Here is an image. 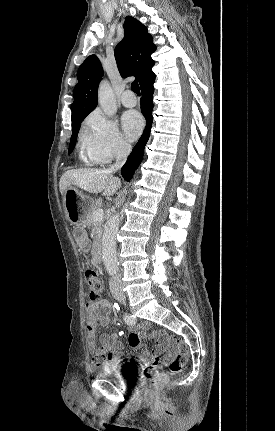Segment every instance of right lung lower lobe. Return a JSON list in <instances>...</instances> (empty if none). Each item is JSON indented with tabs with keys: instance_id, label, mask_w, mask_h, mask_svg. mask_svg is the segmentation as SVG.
<instances>
[{
	"instance_id": "98d812e1",
	"label": "right lung lower lobe",
	"mask_w": 275,
	"mask_h": 431,
	"mask_svg": "<svg viewBox=\"0 0 275 431\" xmlns=\"http://www.w3.org/2000/svg\"><path fill=\"white\" fill-rule=\"evenodd\" d=\"M154 81H151L146 86H144L142 90V98H141V112L144 115L146 119V128L144 133L142 134L141 138L139 139L138 143L133 148L130 156L128 157L126 163L121 169V174L124 177L126 181H130L132 178L135 170L139 166V164L142 161V157L144 155V148L145 145L149 139L151 126L153 122L152 118V109H153V102H152V95L154 92Z\"/></svg>"
}]
</instances>
